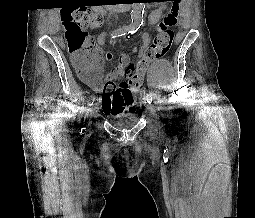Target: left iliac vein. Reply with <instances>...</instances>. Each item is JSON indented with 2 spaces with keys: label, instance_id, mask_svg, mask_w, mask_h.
<instances>
[{
  "label": "left iliac vein",
  "instance_id": "obj_1",
  "mask_svg": "<svg viewBox=\"0 0 255 218\" xmlns=\"http://www.w3.org/2000/svg\"><path fill=\"white\" fill-rule=\"evenodd\" d=\"M147 108H148L149 112H150L152 115L155 114V108H154V106L152 105V103H148V104H147Z\"/></svg>",
  "mask_w": 255,
  "mask_h": 218
}]
</instances>
